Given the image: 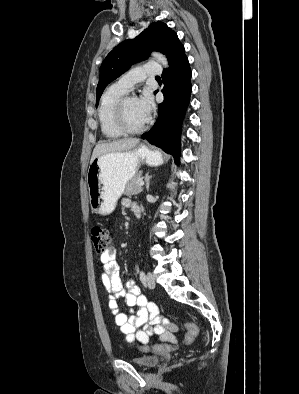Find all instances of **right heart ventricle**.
I'll return each mask as SVG.
<instances>
[{
  "instance_id": "e07e8e85",
  "label": "right heart ventricle",
  "mask_w": 299,
  "mask_h": 394,
  "mask_svg": "<svg viewBox=\"0 0 299 394\" xmlns=\"http://www.w3.org/2000/svg\"><path fill=\"white\" fill-rule=\"evenodd\" d=\"M126 93L127 91L115 83L108 87L101 97L98 119L102 134L108 139H117L124 134L114 123L113 110L118 99Z\"/></svg>"
}]
</instances>
